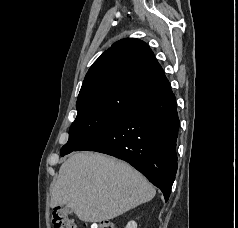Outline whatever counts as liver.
<instances>
[{"instance_id": "6515ba94", "label": "liver", "mask_w": 238, "mask_h": 228, "mask_svg": "<svg viewBox=\"0 0 238 228\" xmlns=\"http://www.w3.org/2000/svg\"><path fill=\"white\" fill-rule=\"evenodd\" d=\"M155 188L129 164L100 153L81 152L60 167L51 206L65 205L84 222L113 219L148 202Z\"/></svg>"}]
</instances>
